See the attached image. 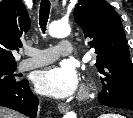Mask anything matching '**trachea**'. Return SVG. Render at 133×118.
I'll use <instances>...</instances> for the list:
<instances>
[{"label":"trachea","mask_w":133,"mask_h":118,"mask_svg":"<svg viewBox=\"0 0 133 118\" xmlns=\"http://www.w3.org/2000/svg\"><path fill=\"white\" fill-rule=\"evenodd\" d=\"M49 13H50V1L42 0L40 4V10H39V24L43 33H45V30H46Z\"/></svg>","instance_id":"trachea-1"}]
</instances>
